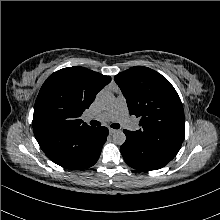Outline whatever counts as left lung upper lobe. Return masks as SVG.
Masks as SVG:
<instances>
[{"label": "left lung upper lobe", "instance_id": "1", "mask_svg": "<svg viewBox=\"0 0 220 220\" xmlns=\"http://www.w3.org/2000/svg\"><path fill=\"white\" fill-rule=\"evenodd\" d=\"M114 79L127 100L130 115L140 118L141 128L127 131L176 156L184 139L185 120L181 100L171 83L144 66L132 67Z\"/></svg>", "mask_w": 220, "mask_h": 220}]
</instances>
